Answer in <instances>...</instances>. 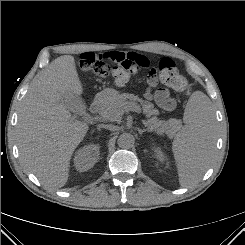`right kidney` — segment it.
<instances>
[{
  "label": "right kidney",
  "instance_id": "obj_1",
  "mask_svg": "<svg viewBox=\"0 0 245 245\" xmlns=\"http://www.w3.org/2000/svg\"><path fill=\"white\" fill-rule=\"evenodd\" d=\"M99 150L100 147L94 144L79 149L74 157L75 168L80 172L91 169L98 160Z\"/></svg>",
  "mask_w": 245,
  "mask_h": 245
}]
</instances>
